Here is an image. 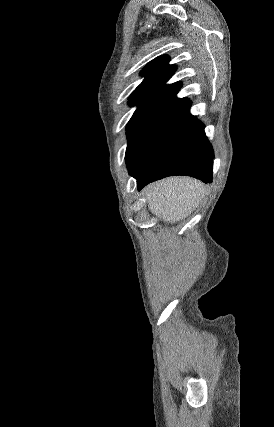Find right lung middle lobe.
<instances>
[{
	"mask_svg": "<svg viewBox=\"0 0 274 427\" xmlns=\"http://www.w3.org/2000/svg\"><path fill=\"white\" fill-rule=\"evenodd\" d=\"M173 108L172 105L157 101L138 106L127 124L128 146L125 160L128 168L136 166L141 160Z\"/></svg>",
	"mask_w": 274,
	"mask_h": 427,
	"instance_id": "1",
	"label": "right lung middle lobe"
}]
</instances>
